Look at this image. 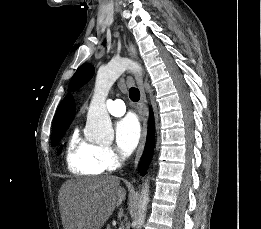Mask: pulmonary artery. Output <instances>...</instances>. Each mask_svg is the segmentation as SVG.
Listing matches in <instances>:
<instances>
[{"mask_svg":"<svg viewBox=\"0 0 261 229\" xmlns=\"http://www.w3.org/2000/svg\"><path fill=\"white\" fill-rule=\"evenodd\" d=\"M107 110L111 115L119 117L124 114L125 106L121 100L110 101Z\"/></svg>","mask_w":261,"mask_h":229,"instance_id":"1","label":"pulmonary artery"}]
</instances>
